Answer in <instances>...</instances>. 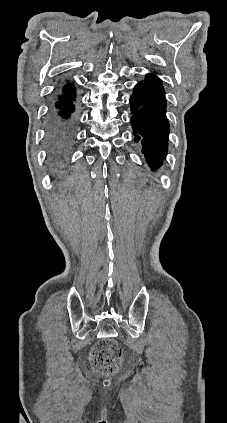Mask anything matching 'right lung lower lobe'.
Wrapping results in <instances>:
<instances>
[{"label": "right lung lower lobe", "mask_w": 227, "mask_h": 423, "mask_svg": "<svg viewBox=\"0 0 227 423\" xmlns=\"http://www.w3.org/2000/svg\"><path fill=\"white\" fill-rule=\"evenodd\" d=\"M64 91L65 94L55 104L58 115L49 125L47 140V166L57 175L64 172L74 143L71 125L66 121L74 109L72 104L74 92L72 88Z\"/></svg>", "instance_id": "right-lung-lower-lobe-1"}]
</instances>
